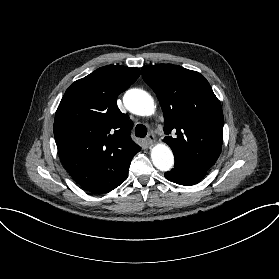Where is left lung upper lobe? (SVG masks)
Here are the masks:
<instances>
[{
  "instance_id": "left-lung-upper-lobe-1",
  "label": "left lung upper lobe",
  "mask_w": 279,
  "mask_h": 279,
  "mask_svg": "<svg viewBox=\"0 0 279 279\" xmlns=\"http://www.w3.org/2000/svg\"><path fill=\"white\" fill-rule=\"evenodd\" d=\"M144 81L157 94L164 113V141L175 164L207 172L217 161L223 139L222 107L208 81L196 71L172 64L142 67Z\"/></svg>"
}]
</instances>
